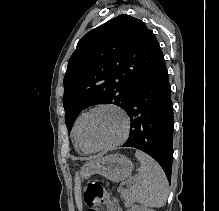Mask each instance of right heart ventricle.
<instances>
[{"label":"right heart ventricle","mask_w":219,"mask_h":211,"mask_svg":"<svg viewBox=\"0 0 219 211\" xmlns=\"http://www.w3.org/2000/svg\"><path fill=\"white\" fill-rule=\"evenodd\" d=\"M82 115H80L75 123H74V126H73V130H72V136H73V139H74V142H75V145L80 148L81 150H83L84 152H90L91 150L85 148L81 143H80V140H79V136H78V126H79V121L81 119Z\"/></svg>","instance_id":"1"}]
</instances>
